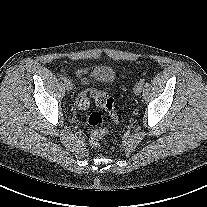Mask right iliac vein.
<instances>
[{"instance_id":"1","label":"right iliac vein","mask_w":207,"mask_h":207,"mask_svg":"<svg viewBox=\"0 0 207 207\" xmlns=\"http://www.w3.org/2000/svg\"><path fill=\"white\" fill-rule=\"evenodd\" d=\"M64 85L66 87L67 90H72L73 89V83L71 80L67 79L65 82H64Z\"/></svg>"}]
</instances>
